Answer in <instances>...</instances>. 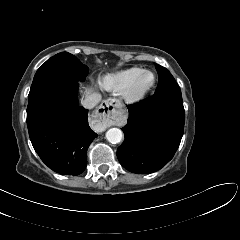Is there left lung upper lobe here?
<instances>
[{
    "instance_id": "obj_1",
    "label": "left lung upper lobe",
    "mask_w": 240,
    "mask_h": 240,
    "mask_svg": "<svg viewBox=\"0 0 240 240\" xmlns=\"http://www.w3.org/2000/svg\"><path fill=\"white\" fill-rule=\"evenodd\" d=\"M155 67L159 75V84L155 94L163 92H181L174 77L165 67L159 64H156Z\"/></svg>"
}]
</instances>
